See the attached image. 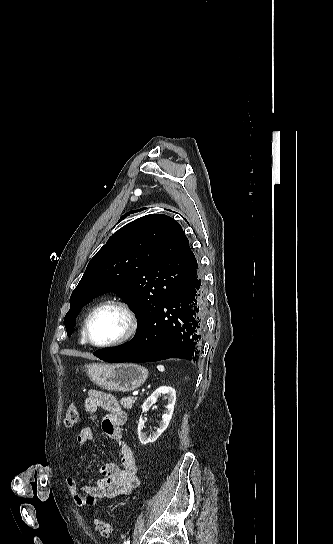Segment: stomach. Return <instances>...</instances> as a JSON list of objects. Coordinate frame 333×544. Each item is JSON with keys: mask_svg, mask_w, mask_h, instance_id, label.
Masks as SVG:
<instances>
[{"mask_svg": "<svg viewBox=\"0 0 333 544\" xmlns=\"http://www.w3.org/2000/svg\"><path fill=\"white\" fill-rule=\"evenodd\" d=\"M90 380L97 386L108 391L129 392L144 384L148 370L135 363L86 365Z\"/></svg>", "mask_w": 333, "mask_h": 544, "instance_id": "1", "label": "stomach"}]
</instances>
